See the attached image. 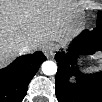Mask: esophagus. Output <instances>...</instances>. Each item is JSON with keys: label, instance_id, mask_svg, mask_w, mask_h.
Returning a JSON list of instances; mask_svg holds the SVG:
<instances>
[{"label": "esophagus", "instance_id": "1", "mask_svg": "<svg viewBox=\"0 0 102 102\" xmlns=\"http://www.w3.org/2000/svg\"><path fill=\"white\" fill-rule=\"evenodd\" d=\"M44 53L46 55L47 58L49 59H53L54 58V52H53V48L50 46H46L44 49Z\"/></svg>", "mask_w": 102, "mask_h": 102}]
</instances>
